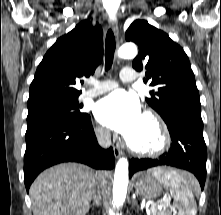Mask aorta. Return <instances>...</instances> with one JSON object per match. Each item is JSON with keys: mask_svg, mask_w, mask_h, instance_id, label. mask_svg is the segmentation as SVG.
Returning a JSON list of instances; mask_svg holds the SVG:
<instances>
[{"mask_svg": "<svg viewBox=\"0 0 221 215\" xmlns=\"http://www.w3.org/2000/svg\"><path fill=\"white\" fill-rule=\"evenodd\" d=\"M137 55V47L133 43H125L118 50V57L123 59H131ZM128 160L120 158L116 164L114 183H113V202L119 207L123 205L128 187Z\"/></svg>", "mask_w": 221, "mask_h": 215, "instance_id": "aorta-1", "label": "aorta"}]
</instances>
